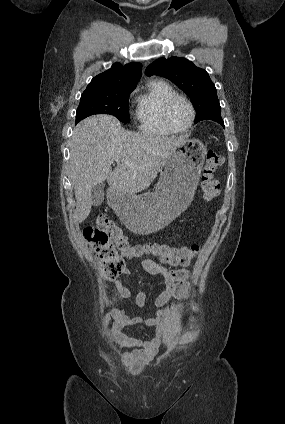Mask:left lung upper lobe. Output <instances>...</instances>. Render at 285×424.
I'll return each mask as SVG.
<instances>
[{
	"instance_id": "1",
	"label": "left lung upper lobe",
	"mask_w": 285,
	"mask_h": 424,
	"mask_svg": "<svg viewBox=\"0 0 285 424\" xmlns=\"http://www.w3.org/2000/svg\"><path fill=\"white\" fill-rule=\"evenodd\" d=\"M146 75L163 76L175 83L191 99L196 110L195 123L221 115L216 88L209 74L185 58H160L150 64Z\"/></svg>"
}]
</instances>
